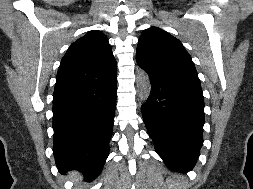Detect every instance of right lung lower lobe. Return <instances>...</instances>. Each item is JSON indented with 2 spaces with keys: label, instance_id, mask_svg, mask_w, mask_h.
<instances>
[{
  "label": "right lung lower lobe",
  "instance_id": "1",
  "mask_svg": "<svg viewBox=\"0 0 253 189\" xmlns=\"http://www.w3.org/2000/svg\"><path fill=\"white\" fill-rule=\"evenodd\" d=\"M117 72L93 83L56 84L53 94V151L61 173L78 169L91 181L109 154Z\"/></svg>",
  "mask_w": 253,
  "mask_h": 189
}]
</instances>
